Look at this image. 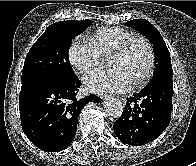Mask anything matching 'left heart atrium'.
Here are the masks:
<instances>
[{
    "mask_svg": "<svg viewBox=\"0 0 196 166\" xmlns=\"http://www.w3.org/2000/svg\"><path fill=\"white\" fill-rule=\"evenodd\" d=\"M134 81L120 68L98 69L84 78L86 89L94 93H121L132 88Z\"/></svg>",
    "mask_w": 196,
    "mask_h": 166,
    "instance_id": "obj_1",
    "label": "left heart atrium"
}]
</instances>
